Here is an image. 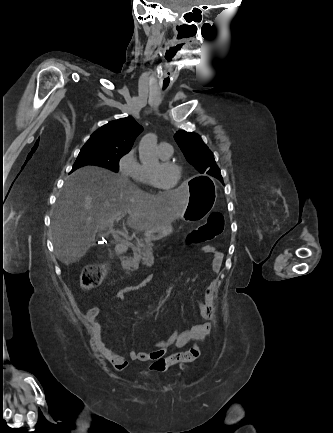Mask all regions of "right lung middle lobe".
Listing matches in <instances>:
<instances>
[{"instance_id":"dd1d6c3e","label":"right lung middle lobe","mask_w":333,"mask_h":433,"mask_svg":"<svg viewBox=\"0 0 333 433\" xmlns=\"http://www.w3.org/2000/svg\"><path fill=\"white\" fill-rule=\"evenodd\" d=\"M128 151L118 150L115 148H107L95 145H84L77 157L73 166L77 169L84 165H99L107 167L117 172L119 160Z\"/></svg>"}]
</instances>
